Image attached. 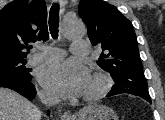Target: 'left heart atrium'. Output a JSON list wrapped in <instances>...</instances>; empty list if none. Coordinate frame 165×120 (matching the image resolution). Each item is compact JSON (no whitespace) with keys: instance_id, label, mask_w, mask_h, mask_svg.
<instances>
[{"instance_id":"39dd6f15","label":"left heart atrium","mask_w":165,"mask_h":120,"mask_svg":"<svg viewBox=\"0 0 165 120\" xmlns=\"http://www.w3.org/2000/svg\"><path fill=\"white\" fill-rule=\"evenodd\" d=\"M90 77L82 62L66 60L45 68L40 75V82L53 94L71 98L83 94Z\"/></svg>"}]
</instances>
